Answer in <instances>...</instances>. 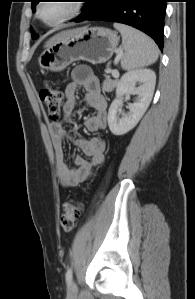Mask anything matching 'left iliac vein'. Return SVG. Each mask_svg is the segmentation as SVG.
Listing matches in <instances>:
<instances>
[{
	"mask_svg": "<svg viewBox=\"0 0 195 299\" xmlns=\"http://www.w3.org/2000/svg\"><path fill=\"white\" fill-rule=\"evenodd\" d=\"M67 292H68L69 296H75V295H77L78 288H77L76 283L73 280L68 284Z\"/></svg>",
	"mask_w": 195,
	"mask_h": 299,
	"instance_id": "obj_1",
	"label": "left iliac vein"
}]
</instances>
